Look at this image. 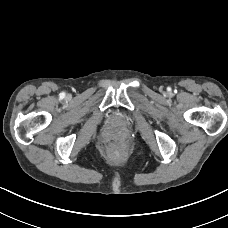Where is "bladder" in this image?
Returning <instances> with one entry per match:
<instances>
[{
    "instance_id": "obj_1",
    "label": "bladder",
    "mask_w": 228,
    "mask_h": 228,
    "mask_svg": "<svg viewBox=\"0 0 228 228\" xmlns=\"http://www.w3.org/2000/svg\"><path fill=\"white\" fill-rule=\"evenodd\" d=\"M118 120H123L124 118L123 117H121V116H117L116 117Z\"/></svg>"
}]
</instances>
